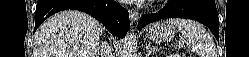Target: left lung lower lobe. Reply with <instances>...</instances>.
<instances>
[{
  "label": "left lung lower lobe",
  "instance_id": "0a47b994",
  "mask_svg": "<svg viewBox=\"0 0 249 57\" xmlns=\"http://www.w3.org/2000/svg\"><path fill=\"white\" fill-rule=\"evenodd\" d=\"M171 17L199 21L219 40V19L215 0H169L161 12L143 15L138 22V29L157 20Z\"/></svg>",
  "mask_w": 249,
  "mask_h": 57
}]
</instances>
